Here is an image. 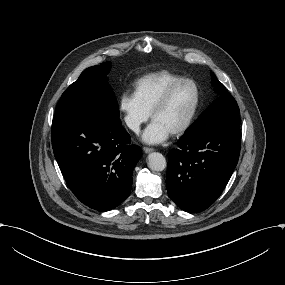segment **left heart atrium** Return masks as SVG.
I'll return each instance as SVG.
<instances>
[{"instance_id": "obj_1", "label": "left heart atrium", "mask_w": 285, "mask_h": 285, "mask_svg": "<svg viewBox=\"0 0 285 285\" xmlns=\"http://www.w3.org/2000/svg\"><path fill=\"white\" fill-rule=\"evenodd\" d=\"M172 131L157 119H153L143 132L142 138L146 143L159 144L169 138Z\"/></svg>"}]
</instances>
